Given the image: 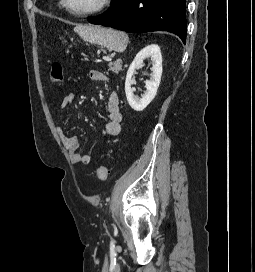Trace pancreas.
Instances as JSON below:
<instances>
[{"instance_id": "cf45deb5", "label": "pancreas", "mask_w": 255, "mask_h": 272, "mask_svg": "<svg viewBox=\"0 0 255 272\" xmlns=\"http://www.w3.org/2000/svg\"><path fill=\"white\" fill-rule=\"evenodd\" d=\"M109 67H110V70L116 74H118L122 70V64L119 60L113 63H110Z\"/></svg>"}]
</instances>
